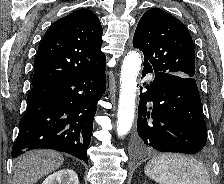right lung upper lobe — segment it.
Here are the masks:
<instances>
[{"label":"right lung upper lobe","mask_w":224,"mask_h":184,"mask_svg":"<svg viewBox=\"0 0 224 184\" xmlns=\"http://www.w3.org/2000/svg\"><path fill=\"white\" fill-rule=\"evenodd\" d=\"M102 26L90 10H77L46 31L34 62L32 85L94 72L105 65Z\"/></svg>","instance_id":"obj_1"}]
</instances>
